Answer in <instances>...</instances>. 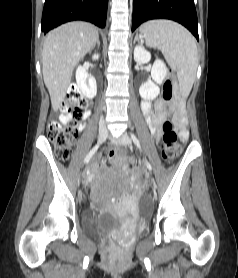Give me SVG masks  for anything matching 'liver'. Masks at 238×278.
<instances>
[{
  "label": "liver",
  "mask_w": 238,
  "mask_h": 278,
  "mask_svg": "<svg viewBox=\"0 0 238 278\" xmlns=\"http://www.w3.org/2000/svg\"><path fill=\"white\" fill-rule=\"evenodd\" d=\"M97 39V28L81 21L61 25L45 37L42 73L54 111L60 108L65 99L75 66L91 50Z\"/></svg>",
  "instance_id": "6515ba94"
}]
</instances>
